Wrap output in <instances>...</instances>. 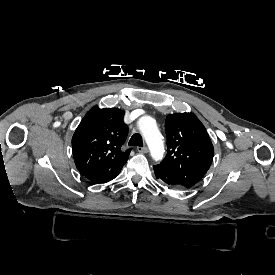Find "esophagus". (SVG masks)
Instances as JSON below:
<instances>
[{
	"mask_svg": "<svg viewBox=\"0 0 275 275\" xmlns=\"http://www.w3.org/2000/svg\"><path fill=\"white\" fill-rule=\"evenodd\" d=\"M137 150L140 153H143V154L148 152V148L147 147H137Z\"/></svg>",
	"mask_w": 275,
	"mask_h": 275,
	"instance_id": "obj_1",
	"label": "esophagus"
}]
</instances>
